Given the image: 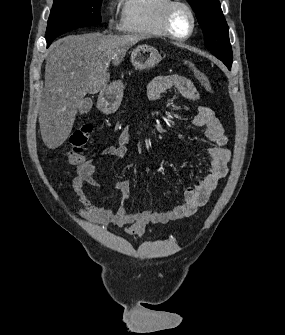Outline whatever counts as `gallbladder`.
<instances>
[{
  "instance_id": "gallbladder-1",
  "label": "gallbladder",
  "mask_w": 285,
  "mask_h": 335,
  "mask_svg": "<svg viewBox=\"0 0 285 335\" xmlns=\"http://www.w3.org/2000/svg\"><path fill=\"white\" fill-rule=\"evenodd\" d=\"M93 106V102L91 98H84L81 102V106L79 108L80 114H88Z\"/></svg>"
}]
</instances>
